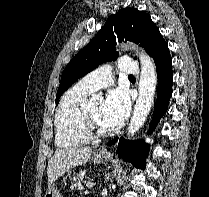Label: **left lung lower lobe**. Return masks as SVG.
<instances>
[{
  "label": "left lung lower lobe",
  "instance_id": "left-lung-lower-lobe-1",
  "mask_svg": "<svg viewBox=\"0 0 209 197\" xmlns=\"http://www.w3.org/2000/svg\"><path fill=\"white\" fill-rule=\"evenodd\" d=\"M155 60L157 75H158V90L157 100L154 106L153 119L150 124L149 133H151L157 122L168 108V102L172 95V59L168 49L167 43H161L153 53ZM118 138L110 141L109 146L115 144ZM149 145L145 144L143 140L125 141L124 138L119 139L118 155L124 161L131 162L134 166L144 169L146 162L143 160L147 157Z\"/></svg>",
  "mask_w": 209,
  "mask_h": 197
}]
</instances>
